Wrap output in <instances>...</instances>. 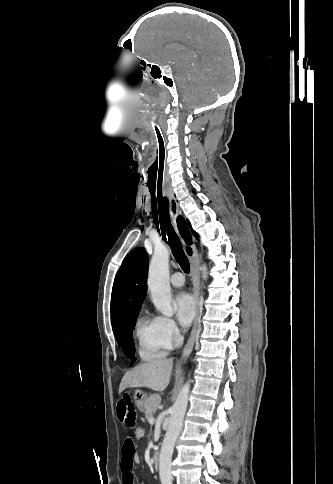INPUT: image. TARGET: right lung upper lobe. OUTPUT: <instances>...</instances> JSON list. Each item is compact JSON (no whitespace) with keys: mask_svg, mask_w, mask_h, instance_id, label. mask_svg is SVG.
<instances>
[{"mask_svg":"<svg viewBox=\"0 0 333 484\" xmlns=\"http://www.w3.org/2000/svg\"><path fill=\"white\" fill-rule=\"evenodd\" d=\"M181 235L191 242L186 222L178 217ZM149 259L143 247L133 250L118 270L111 296V321L113 331L130 314L139 312L147 293V272Z\"/></svg>","mask_w":333,"mask_h":484,"instance_id":"right-lung-upper-lobe-1","label":"right lung upper lobe"}]
</instances>
